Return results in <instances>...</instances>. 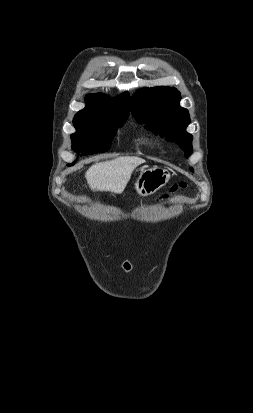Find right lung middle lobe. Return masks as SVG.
I'll use <instances>...</instances> for the list:
<instances>
[{
    "label": "right lung middle lobe",
    "mask_w": 253,
    "mask_h": 413,
    "mask_svg": "<svg viewBox=\"0 0 253 413\" xmlns=\"http://www.w3.org/2000/svg\"><path fill=\"white\" fill-rule=\"evenodd\" d=\"M127 118L128 115H124L98 122L74 123L76 132L71 135L72 149L81 156L108 151L118 127Z\"/></svg>",
    "instance_id": "1"
}]
</instances>
